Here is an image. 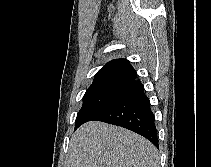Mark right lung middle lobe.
Returning <instances> with one entry per match:
<instances>
[{
    "instance_id": "dd1d6c3e",
    "label": "right lung middle lobe",
    "mask_w": 211,
    "mask_h": 167,
    "mask_svg": "<svg viewBox=\"0 0 211 167\" xmlns=\"http://www.w3.org/2000/svg\"><path fill=\"white\" fill-rule=\"evenodd\" d=\"M129 80L95 81L83 96V105L77 114L75 128L90 121L109 104L125 93L132 85Z\"/></svg>"
}]
</instances>
